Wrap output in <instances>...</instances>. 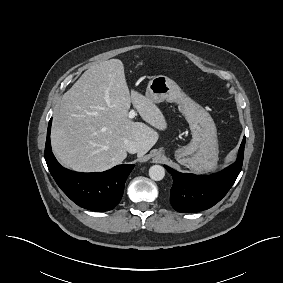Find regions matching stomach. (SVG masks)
Returning a JSON list of instances; mask_svg holds the SVG:
<instances>
[{
	"instance_id": "1",
	"label": "stomach",
	"mask_w": 283,
	"mask_h": 283,
	"mask_svg": "<svg viewBox=\"0 0 283 283\" xmlns=\"http://www.w3.org/2000/svg\"><path fill=\"white\" fill-rule=\"evenodd\" d=\"M145 96L154 103L167 101L177 103L179 110L189 124L192 140L175 150L178 163L195 172H204L218 160L217 129L211 115L187 96L179 85L164 75L153 77L147 86Z\"/></svg>"
}]
</instances>
